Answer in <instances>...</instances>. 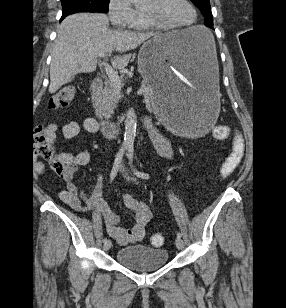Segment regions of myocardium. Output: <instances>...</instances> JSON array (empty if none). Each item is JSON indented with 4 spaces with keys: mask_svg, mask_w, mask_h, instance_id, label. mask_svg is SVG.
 I'll return each mask as SVG.
<instances>
[{
    "mask_svg": "<svg viewBox=\"0 0 286 308\" xmlns=\"http://www.w3.org/2000/svg\"><path fill=\"white\" fill-rule=\"evenodd\" d=\"M157 2H162L163 0H156ZM185 2L189 5V7L192 9L193 13H194V19L192 22L188 23V24H172L169 23L167 21H165L164 19L154 15V14H150V13H146L145 12V17L147 18V20L152 23L154 26L158 27V28H162V29H187V28H191L193 26L196 25L197 21H198V11L195 7V5L193 4V2L191 0H185Z\"/></svg>",
    "mask_w": 286,
    "mask_h": 308,
    "instance_id": "obj_1",
    "label": "myocardium"
}]
</instances>
